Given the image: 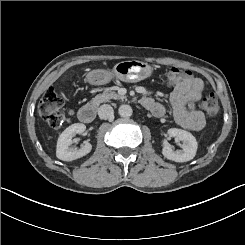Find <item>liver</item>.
<instances>
[{"mask_svg": "<svg viewBox=\"0 0 245 245\" xmlns=\"http://www.w3.org/2000/svg\"><path fill=\"white\" fill-rule=\"evenodd\" d=\"M67 77H68L67 75L62 76L61 82L65 81L67 79Z\"/></svg>", "mask_w": 245, "mask_h": 245, "instance_id": "6515ba94", "label": "liver"}]
</instances>
